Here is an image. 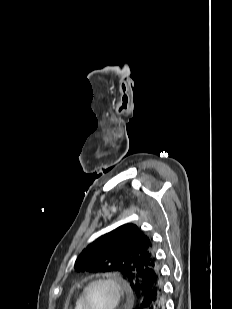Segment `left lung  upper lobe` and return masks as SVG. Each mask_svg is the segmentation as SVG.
Listing matches in <instances>:
<instances>
[{"label": "left lung upper lobe", "mask_w": 232, "mask_h": 309, "mask_svg": "<svg viewBox=\"0 0 232 309\" xmlns=\"http://www.w3.org/2000/svg\"><path fill=\"white\" fill-rule=\"evenodd\" d=\"M78 272H118L138 302L158 272L153 241L139 227L125 224L89 244L75 262Z\"/></svg>", "instance_id": "obj_1"}]
</instances>
